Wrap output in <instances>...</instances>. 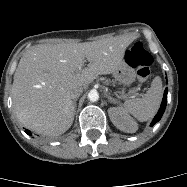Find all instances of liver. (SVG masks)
<instances>
[{"label":"liver","instance_id":"6515ba94","mask_svg":"<svg viewBox=\"0 0 187 187\" xmlns=\"http://www.w3.org/2000/svg\"><path fill=\"white\" fill-rule=\"evenodd\" d=\"M133 38L116 36L93 42L38 45L21 57L12 85L13 108L28 129L46 136L68 130L74 120L71 91L87 88L99 75L123 63ZM85 59L87 67L83 68Z\"/></svg>","mask_w":187,"mask_h":187}]
</instances>
